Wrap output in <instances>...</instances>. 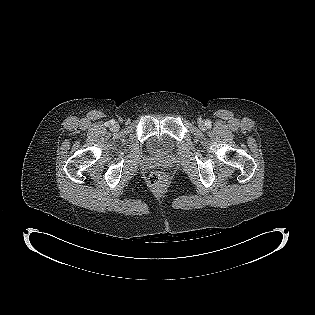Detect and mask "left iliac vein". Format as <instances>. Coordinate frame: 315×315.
<instances>
[{
    "label": "left iliac vein",
    "instance_id": "4c4485c4",
    "mask_svg": "<svg viewBox=\"0 0 315 315\" xmlns=\"http://www.w3.org/2000/svg\"><path fill=\"white\" fill-rule=\"evenodd\" d=\"M198 124H199V127L201 128V129H204L205 128V122L204 121H202V120H200L199 122H198Z\"/></svg>",
    "mask_w": 315,
    "mask_h": 315
}]
</instances>
